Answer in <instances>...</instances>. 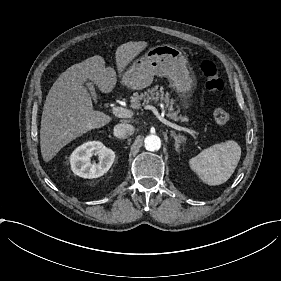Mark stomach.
Here are the masks:
<instances>
[{"instance_id":"stomach-1","label":"stomach","mask_w":281,"mask_h":281,"mask_svg":"<svg viewBox=\"0 0 281 281\" xmlns=\"http://www.w3.org/2000/svg\"><path fill=\"white\" fill-rule=\"evenodd\" d=\"M187 63L179 48L168 44L158 45L133 62L123 74L121 83L130 89L141 90L151 85L154 76L166 77L169 86L187 105V99L196 86L195 75Z\"/></svg>"}]
</instances>
